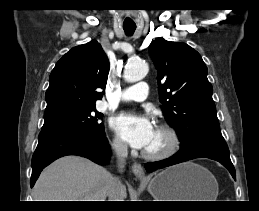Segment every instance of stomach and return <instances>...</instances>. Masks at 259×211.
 <instances>
[{
  "instance_id": "1",
  "label": "stomach",
  "mask_w": 259,
  "mask_h": 211,
  "mask_svg": "<svg viewBox=\"0 0 259 211\" xmlns=\"http://www.w3.org/2000/svg\"><path fill=\"white\" fill-rule=\"evenodd\" d=\"M157 201H215L218 183L211 172L193 162L162 170L147 181Z\"/></svg>"
}]
</instances>
